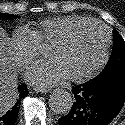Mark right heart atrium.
<instances>
[{"mask_svg":"<svg viewBox=\"0 0 125 125\" xmlns=\"http://www.w3.org/2000/svg\"><path fill=\"white\" fill-rule=\"evenodd\" d=\"M10 50L15 63L24 68L40 55L41 43L32 29L22 26L13 31Z\"/></svg>","mask_w":125,"mask_h":125,"instance_id":"d8ad5b80","label":"right heart atrium"}]
</instances>
